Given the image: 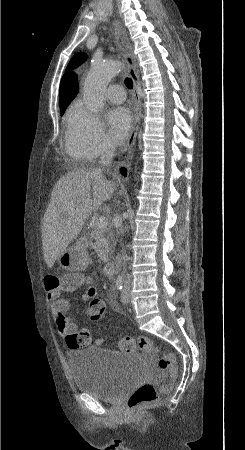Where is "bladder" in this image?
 Segmentation results:
<instances>
[{
  "instance_id": "obj_1",
  "label": "bladder",
  "mask_w": 245,
  "mask_h": 450,
  "mask_svg": "<svg viewBox=\"0 0 245 450\" xmlns=\"http://www.w3.org/2000/svg\"><path fill=\"white\" fill-rule=\"evenodd\" d=\"M67 359L74 388L105 401L118 400L147 372L140 356L101 347L73 349Z\"/></svg>"
}]
</instances>
